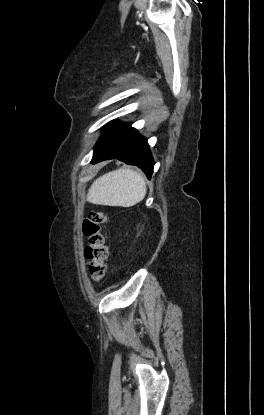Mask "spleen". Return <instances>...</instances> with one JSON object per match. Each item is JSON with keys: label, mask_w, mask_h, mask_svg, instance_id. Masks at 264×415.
I'll return each mask as SVG.
<instances>
[{"label": "spleen", "mask_w": 264, "mask_h": 415, "mask_svg": "<svg viewBox=\"0 0 264 415\" xmlns=\"http://www.w3.org/2000/svg\"><path fill=\"white\" fill-rule=\"evenodd\" d=\"M146 183L141 174L121 168L97 178L87 193V201L106 206L130 207L145 197Z\"/></svg>", "instance_id": "3e777b00"}]
</instances>
